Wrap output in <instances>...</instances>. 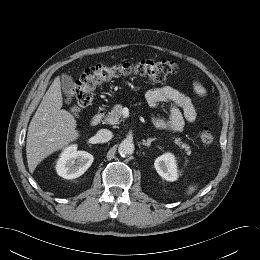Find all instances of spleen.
<instances>
[{"label": "spleen", "instance_id": "obj_1", "mask_svg": "<svg viewBox=\"0 0 260 260\" xmlns=\"http://www.w3.org/2000/svg\"><path fill=\"white\" fill-rule=\"evenodd\" d=\"M197 189L196 185H190L187 189V194L190 195L192 194L195 190Z\"/></svg>", "mask_w": 260, "mask_h": 260}]
</instances>
